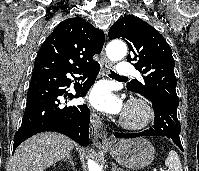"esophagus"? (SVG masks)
Instances as JSON below:
<instances>
[{
  "label": "esophagus",
  "mask_w": 199,
  "mask_h": 171,
  "mask_svg": "<svg viewBox=\"0 0 199 171\" xmlns=\"http://www.w3.org/2000/svg\"><path fill=\"white\" fill-rule=\"evenodd\" d=\"M109 66H110L109 61L103 49L100 55V67L103 74H106L108 72ZM90 121L94 127V139H93L94 145L97 147L107 146L109 141L107 138L106 129L103 123L101 122L99 116L97 115V113L94 112L93 110L91 111Z\"/></svg>",
  "instance_id": "esophagus-1"
}]
</instances>
